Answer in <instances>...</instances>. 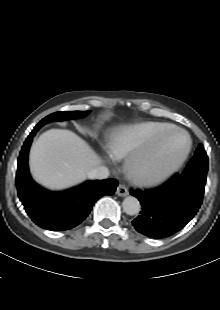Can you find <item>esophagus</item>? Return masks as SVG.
I'll list each match as a JSON object with an SVG mask.
<instances>
[{
	"mask_svg": "<svg viewBox=\"0 0 220 310\" xmlns=\"http://www.w3.org/2000/svg\"><path fill=\"white\" fill-rule=\"evenodd\" d=\"M116 194L118 196L124 197V196H127L129 194V191H128V189H127V187L125 185L120 184L117 187Z\"/></svg>",
	"mask_w": 220,
	"mask_h": 310,
	"instance_id": "obj_1",
	"label": "esophagus"
}]
</instances>
